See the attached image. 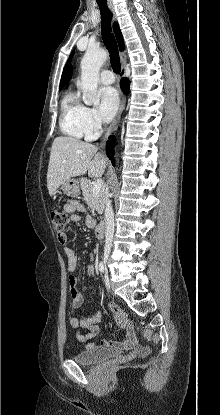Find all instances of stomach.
Returning <instances> with one entry per match:
<instances>
[{
  "mask_svg": "<svg viewBox=\"0 0 220 415\" xmlns=\"http://www.w3.org/2000/svg\"><path fill=\"white\" fill-rule=\"evenodd\" d=\"M62 191L70 197H77L80 195L79 181L76 179H69L62 184Z\"/></svg>",
  "mask_w": 220,
  "mask_h": 415,
  "instance_id": "stomach-1",
  "label": "stomach"
}]
</instances>
